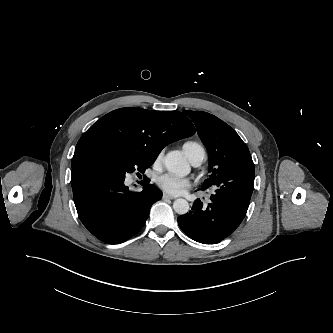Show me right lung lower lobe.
<instances>
[{
	"label": "right lung lower lobe",
	"instance_id": "98d812e1",
	"mask_svg": "<svg viewBox=\"0 0 333 333\" xmlns=\"http://www.w3.org/2000/svg\"><path fill=\"white\" fill-rule=\"evenodd\" d=\"M71 185L81 222L108 244L122 243L136 235L151 206L161 198V191L152 184L142 192H132L124 179L82 161L72 165Z\"/></svg>",
	"mask_w": 333,
	"mask_h": 333
}]
</instances>
